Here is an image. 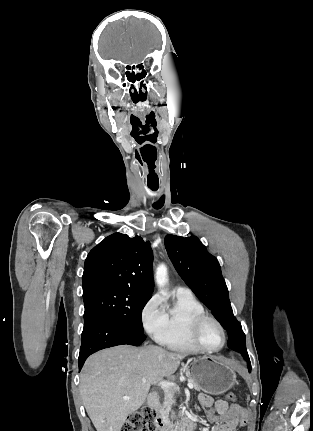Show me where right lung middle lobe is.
<instances>
[{
  "label": "right lung middle lobe",
  "mask_w": 313,
  "mask_h": 431,
  "mask_svg": "<svg viewBox=\"0 0 313 431\" xmlns=\"http://www.w3.org/2000/svg\"><path fill=\"white\" fill-rule=\"evenodd\" d=\"M150 298L129 288H111L84 296V324L104 317L144 333L141 314Z\"/></svg>",
  "instance_id": "1"
}]
</instances>
